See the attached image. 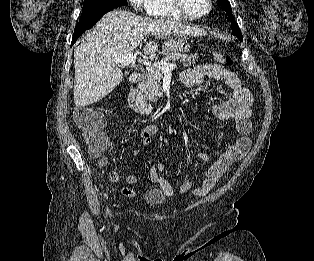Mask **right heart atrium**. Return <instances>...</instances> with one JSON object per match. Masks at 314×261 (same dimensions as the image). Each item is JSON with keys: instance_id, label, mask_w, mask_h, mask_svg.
<instances>
[{"instance_id": "right-heart-atrium-1", "label": "right heart atrium", "mask_w": 314, "mask_h": 261, "mask_svg": "<svg viewBox=\"0 0 314 261\" xmlns=\"http://www.w3.org/2000/svg\"><path fill=\"white\" fill-rule=\"evenodd\" d=\"M151 0H130L131 4L137 11H148Z\"/></svg>"}]
</instances>
